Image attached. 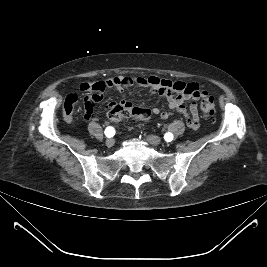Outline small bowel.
Listing matches in <instances>:
<instances>
[{
	"label": "small bowel",
	"instance_id": "1",
	"mask_svg": "<svg viewBox=\"0 0 267 267\" xmlns=\"http://www.w3.org/2000/svg\"><path fill=\"white\" fill-rule=\"evenodd\" d=\"M138 85L149 89L151 92L160 94L168 103L169 111L161 110L158 107L152 109L154 115L162 119H167L173 113L183 114L187 125L192 130H198L199 113L197 101L207 97L208 94L196 82L173 81L157 76L134 77V76H116L99 82H87L81 85V90L86 93L84 99L86 120H93L96 117V105L102 100L103 92L108 88H114L122 92L124 88ZM191 100L189 108L185 102ZM78 96L69 94L64 101V118L67 122L71 121L74 108L78 104ZM130 108L132 103L122 94L119 102H111L109 110L114 108Z\"/></svg>",
	"mask_w": 267,
	"mask_h": 267
}]
</instances>
